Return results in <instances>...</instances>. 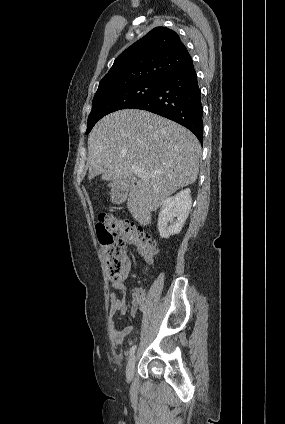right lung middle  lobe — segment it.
Segmentation results:
<instances>
[{
  "mask_svg": "<svg viewBox=\"0 0 285 424\" xmlns=\"http://www.w3.org/2000/svg\"><path fill=\"white\" fill-rule=\"evenodd\" d=\"M162 84V81H139L97 91L92 101V111L88 117L86 134L107 114L131 108L134 104L154 94Z\"/></svg>",
  "mask_w": 285,
  "mask_h": 424,
  "instance_id": "dd1d6c3e",
  "label": "right lung middle lobe"
}]
</instances>
